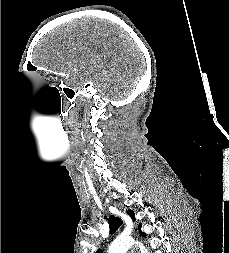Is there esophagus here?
Masks as SVG:
<instances>
[{"instance_id":"obj_1","label":"esophagus","mask_w":229,"mask_h":253,"mask_svg":"<svg viewBox=\"0 0 229 253\" xmlns=\"http://www.w3.org/2000/svg\"><path fill=\"white\" fill-rule=\"evenodd\" d=\"M131 253H136V252L134 251V249H132Z\"/></svg>"}]
</instances>
